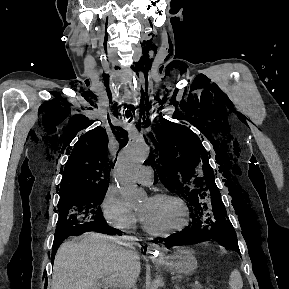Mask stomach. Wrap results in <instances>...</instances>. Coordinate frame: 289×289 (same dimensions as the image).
<instances>
[{
  "mask_svg": "<svg viewBox=\"0 0 289 289\" xmlns=\"http://www.w3.org/2000/svg\"><path fill=\"white\" fill-rule=\"evenodd\" d=\"M166 259L168 268L177 275H191L197 268V259L189 248H181Z\"/></svg>",
  "mask_w": 289,
  "mask_h": 289,
  "instance_id": "1",
  "label": "stomach"
}]
</instances>
